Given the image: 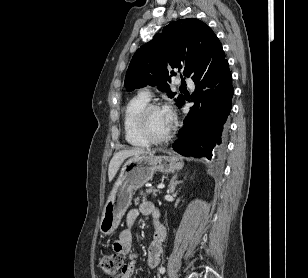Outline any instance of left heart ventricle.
I'll use <instances>...</instances> for the list:
<instances>
[{"label": "left heart ventricle", "instance_id": "b2bd125f", "mask_svg": "<svg viewBox=\"0 0 308 278\" xmlns=\"http://www.w3.org/2000/svg\"><path fill=\"white\" fill-rule=\"evenodd\" d=\"M148 126L155 136H163L170 129L167 124L162 109L153 110L148 116Z\"/></svg>", "mask_w": 308, "mask_h": 278}]
</instances>
